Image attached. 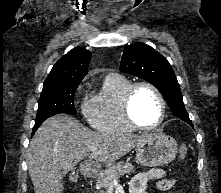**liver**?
Here are the masks:
<instances>
[{
    "mask_svg": "<svg viewBox=\"0 0 221 193\" xmlns=\"http://www.w3.org/2000/svg\"><path fill=\"white\" fill-rule=\"evenodd\" d=\"M150 135H108L90 131L69 115L45 120L28 148V172L35 193H62L63 177L83 159L111 164ZM96 148V151H91Z\"/></svg>",
    "mask_w": 221,
    "mask_h": 193,
    "instance_id": "obj_1",
    "label": "liver"
}]
</instances>
